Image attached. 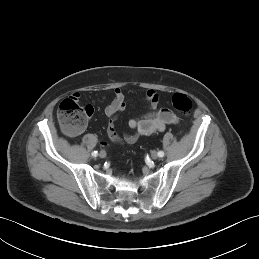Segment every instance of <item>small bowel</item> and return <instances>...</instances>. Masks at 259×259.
Returning <instances> with one entry per match:
<instances>
[{
	"label": "small bowel",
	"instance_id": "1",
	"mask_svg": "<svg viewBox=\"0 0 259 259\" xmlns=\"http://www.w3.org/2000/svg\"><path fill=\"white\" fill-rule=\"evenodd\" d=\"M145 101L149 106V110L140 117L129 120L128 125L132 129L131 132L124 135V140L128 143H135L141 137L159 133L165 130L169 124L178 125L180 120L177 115L166 108L159 107V95L154 90H149L146 93ZM93 115V107L88 105ZM126 108L125 96L121 89L113 90V100L105 108V114L109 118H114L118 113ZM107 135L111 142L121 144L123 140L117 134L113 123L111 122L107 129ZM101 145H106V141H101Z\"/></svg>",
	"mask_w": 259,
	"mask_h": 259
}]
</instances>
